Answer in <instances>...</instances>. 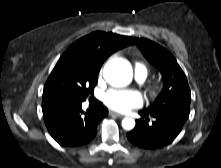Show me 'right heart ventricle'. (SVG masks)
<instances>
[{
  "label": "right heart ventricle",
  "mask_w": 221,
  "mask_h": 168,
  "mask_svg": "<svg viewBox=\"0 0 221 168\" xmlns=\"http://www.w3.org/2000/svg\"><path fill=\"white\" fill-rule=\"evenodd\" d=\"M136 70L143 71L146 74L148 73V70H147L146 66L144 64H142V63H139V62L135 64V71Z\"/></svg>",
  "instance_id": "1"
}]
</instances>
